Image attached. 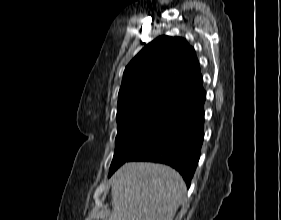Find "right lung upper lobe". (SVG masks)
Instances as JSON below:
<instances>
[{"instance_id":"cb5924a9","label":"right lung upper lobe","mask_w":281,"mask_h":220,"mask_svg":"<svg viewBox=\"0 0 281 220\" xmlns=\"http://www.w3.org/2000/svg\"><path fill=\"white\" fill-rule=\"evenodd\" d=\"M203 93L193 47L181 37L161 36L147 44L125 68L117 120L142 115L171 117Z\"/></svg>"}]
</instances>
